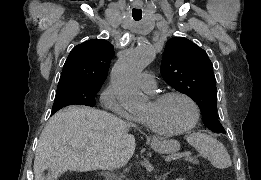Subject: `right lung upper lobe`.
I'll return each mask as SVG.
<instances>
[{
  "label": "right lung upper lobe",
  "instance_id": "right-lung-upper-lobe-1",
  "mask_svg": "<svg viewBox=\"0 0 261 180\" xmlns=\"http://www.w3.org/2000/svg\"><path fill=\"white\" fill-rule=\"evenodd\" d=\"M113 56V46L105 39L89 40L77 45L66 59L58 87H101L107 78Z\"/></svg>",
  "mask_w": 261,
  "mask_h": 180
}]
</instances>
